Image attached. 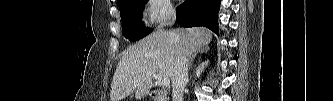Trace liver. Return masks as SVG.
Returning a JSON list of instances; mask_svg holds the SVG:
<instances>
[{
  "label": "liver",
  "instance_id": "1",
  "mask_svg": "<svg viewBox=\"0 0 333 101\" xmlns=\"http://www.w3.org/2000/svg\"><path fill=\"white\" fill-rule=\"evenodd\" d=\"M212 39V32L202 28L157 30L129 47L116 68L111 84V101H121L135 92L141 99L153 87L154 75L173 80L179 48L191 56Z\"/></svg>",
  "mask_w": 333,
  "mask_h": 101
}]
</instances>
